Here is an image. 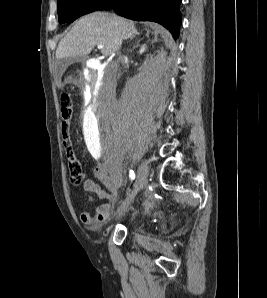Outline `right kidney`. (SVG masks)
Wrapping results in <instances>:
<instances>
[{
  "mask_svg": "<svg viewBox=\"0 0 267 298\" xmlns=\"http://www.w3.org/2000/svg\"><path fill=\"white\" fill-rule=\"evenodd\" d=\"M144 50H145V47L143 46V47L141 48V50H140V53H143Z\"/></svg>",
  "mask_w": 267,
  "mask_h": 298,
  "instance_id": "obj_1",
  "label": "right kidney"
}]
</instances>
